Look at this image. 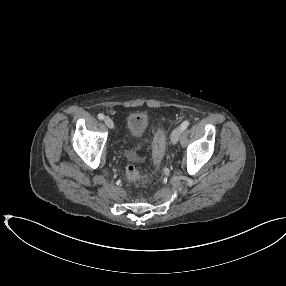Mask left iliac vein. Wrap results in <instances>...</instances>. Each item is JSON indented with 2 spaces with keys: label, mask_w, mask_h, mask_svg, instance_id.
I'll return each mask as SVG.
<instances>
[{
  "label": "left iliac vein",
  "mask_w": 286,
  "mask_h": 286,
  "mask_svg": "<svg viewBox=\"0 0 286 286\" xmlns=\"http://www.w3.org/2000/svg\"><path fill=\"white\" fill-rule=\"evenodd\" d=\"M182 134V129L181 127H177L173 130L172 134H171V142L172 144H177V142L180 139V136Z\"/></svg>",
  "instance_id": "left-iliac-vein-1"
}]
</instances>
